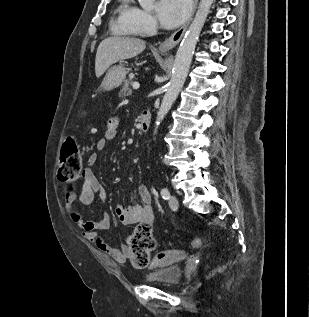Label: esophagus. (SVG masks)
Here are the masks:
<instances>
[{
	"instance_id": "1",
	"label": "esophagus",
	"mask_w": 309,
	"mask_h": 317,
	"mask_svg": "<svg viewBox=\"0 0 309 317\" xmlns=\"http://www.w3.org/2000/svg\"><path fill=\"white\" fill-rule=\"evenodd\" d=\"M198 4V0H193V10L190 15V17L187 19V21L177 30L175 31L169 38H167L164 42H162L159 45V50L166 52L175 47L181 40L182 36L184 35L190 21L192 20V17L196 11Z\"/></svg>"
}]
</instances>
